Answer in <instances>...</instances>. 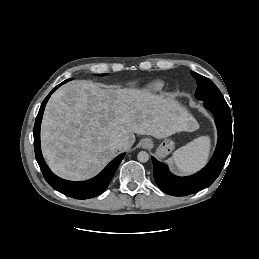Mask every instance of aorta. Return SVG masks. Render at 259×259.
Here are the masks:
<instances>
[{"instance_id":"obj_1","label":"aorta","mask_w":259,"mask_h":259,"mask_svg":"<svg viewBox=\"0 0 259 259\" xmlns=\"http://www.w3.org/2000/svg\"><path fill=\"white\" fill-rule=\"evenodd\" d=\"M138 161L145 163L149 160V154L145 151H140L137 155Z\"/></svg>"}]
</instances>
